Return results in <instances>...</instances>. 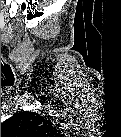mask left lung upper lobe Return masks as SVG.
Wrapping results in <instances>:
<instances>
[{
	"instance_id": "left-lung-upper-lobe-1",
	"label": "left lung upper lobe",
	"mask_w": 121,
	"mask_h": 137,
	"mask_svg": "<svg viewBox=\"0 0 121 137\" xmlns=\"http://www.w3.org/2000/svg\"><path fill=\"white\" fill-rule=\"evenodd\" d=\"M55 131V126L47 118L31 111H23L1 123V135L46 136Z\"/></svg>"
}]
</instances>
